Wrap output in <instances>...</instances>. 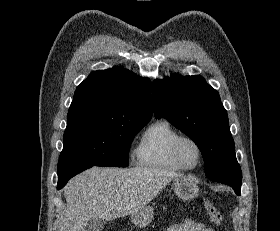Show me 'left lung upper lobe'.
I'll return each mask as SVG.
<instances>
[{
    "mask_svg": "<svg viewBox=\"0 0 280 231\" xmlns=\"http://www.w3.org/2000/svg\"><path fill=\"white\" fill-rule=\"evenodd\" d=\"M155 117L166 118L200 149L208 178L236 166L234 140L218 92L199 75L153 81Z\"/></svg>",
    "mask_w": 280,
    "mask_h": 231,
    "instance_id": "1",
    "label": "left lung upper lobe"
}]
</instances>
